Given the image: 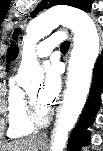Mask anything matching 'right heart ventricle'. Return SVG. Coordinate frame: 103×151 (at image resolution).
Segmentation results:
<instances>
[{"mask_svg":"<svg viewBox=\"0 0 103 151\" xmlns=\"http://www.w3.org/2000/svg\"><path fill=\"white\" fill-rule=\"evenodd\" d=\"M7 108L8 137L20 138L32 134L35 127L27 119L25 92L13 78L9 81Z\"/></svg>","mask_w":103,"mask_h":151,"instance_id":"e07e8e85","label":"right heart ventricle"}]
</instances>
